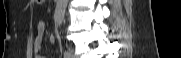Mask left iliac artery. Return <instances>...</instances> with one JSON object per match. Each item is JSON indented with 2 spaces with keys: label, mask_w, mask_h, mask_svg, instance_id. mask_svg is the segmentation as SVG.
Returning <instances> with one entry per match:
<instances>
[{
  "label": "left iliac artery",
  "mask_w": 181,
  "mask_h": 58,
  "mask_svg": "<svg viewBox=\"0 0 181 58\" xmlns=\"http://www.w3.org/2000/svg\"><path fill=\"white\" fill-rule=\"evenodd\" d=\"M64 58H71V53L68 51L64 52Z\"/></svg>",
  "instance_id": "1"
}]
</instances>
